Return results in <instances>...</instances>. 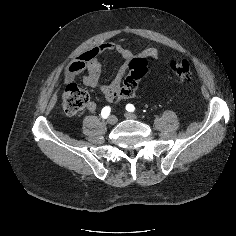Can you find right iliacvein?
<instances>
[{
    "label": "right iliac vein",
    "instance_id": "63e3f726",
    "mask_svg": "<svg viewBox=\"0 0 236 236\" xmlns=\"http://www.w3.org/2000/svg\"><path fill=\"white\" fill-rule=\"evenodd\" d=\"M116 122H117L116 116L111 115V116L108 118V123H109L110 125H114V124H116Z\"/></svg>",
    "mask_w": 236,
    "mask_h": 236
}]
</instances>
